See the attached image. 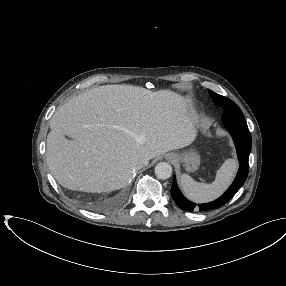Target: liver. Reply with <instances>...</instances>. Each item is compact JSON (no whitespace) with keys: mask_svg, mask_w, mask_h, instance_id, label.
<instances>
[{"mask_svg":"<svg viewBox=\"0 0 286 286\" xmlns=\"http://www.w3.org/2000/svg\"><path fill=\"white\" fill-rule=\"evenodd\" d=\"M190 105L173 91L132 85L84 92L50 119L46 155L51 174L70 190L121 189L137 165L194 141L197 116Z\"/></svg>","mask_w":286,"mask_h":286,"instance_id":"obj_1","label":"liver"}]
</instances>
